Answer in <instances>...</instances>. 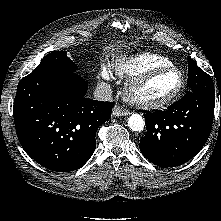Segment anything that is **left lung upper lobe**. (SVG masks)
<instances>
[{
	"instance_id": "left-lung-upper-lobe-1",
	"label": "left lung upper lobe",
	"mask_w": 221,
	"mask_h": 221,
	"mask_svg": "<svg viewBox=\"0 0 221 221\" xmlns=\"http://www.w3.org/2000/svg\"><path fill=\"white\" fill-rule=\"evenodd\" d=\"M188 74L187 82L190 91L187 94L192 92H202L215 97L212 78L199 68L190 57H188Z\"/></svg>"
}]
</instances>
